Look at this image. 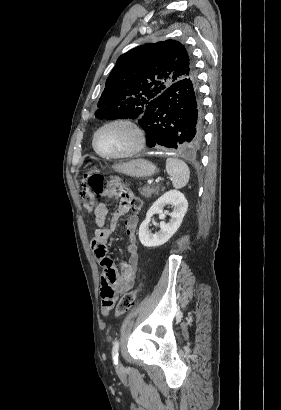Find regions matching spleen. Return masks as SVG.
<instances>
[{
    "instance_id": "spleen-1",
    "label": "spleen",
    "mask_w": 281,
    "mask_h": 410,
    "mask_svg": "<svg viewBox=\"0 0 281 410\" xmlns=\"http://www.w3.org/2000/svg\"><path fill=\"white\" fill-rule=\"evenodd\" d=\"M166 171L172 181L173 187L180 189L184 187L190 177V171L187 164L177 158H167Z\"/></svg>"
}]
</instances>
